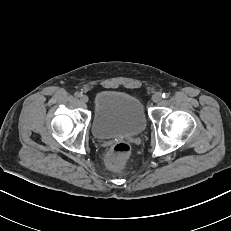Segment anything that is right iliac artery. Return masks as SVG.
Returning a JSON list of instances; mask_svg holds the SVG:
<instances>
[{
	"instance_id": "obj_1",
	"label": "right iliac artery",
	"mask_w": 231,
	"mask_h": 231,
	"mask_svg": "<svg viewBox=\"0 0 231 231\" xmlns=\"http://www.w3.org/2000/svg\"><path fill=\"white\" fill-rule=\"evenodd\" d=\"M74 96L79 98L81 96V94L79 92H75Z\"/></svg>"
}]
</instances>
